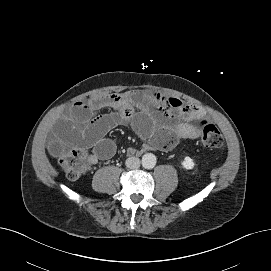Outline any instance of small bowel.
I'll list each match as a JSON object with an SVG mask.
<instances>
[{"instance_id": "c3829d8e", "label": "small bowel", "mask_w": 271, "mask_h": 271, "mask_svg": "<svg viewBox=\"0 0 271 271\" xmlns=\"http://www.w3.org/2000/svg\"><path fill=\"white\" fill-rule=\"evenodd\" d=\"M104 108L113 111L96 114ZM204 115L198 106L183 105L177 98L147 90L95 95L76 102L70 113L57 121L50 148L55 155L68 146L91 149L93 162L106 160L116 153V145L106 138L107 133L130 123L140 137L151 140L152 147L170 150L180 140L201 138V130L192 121Z\"/></svg>"}]
</instances>
